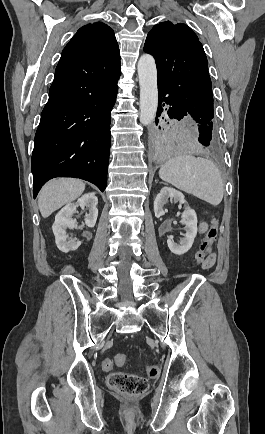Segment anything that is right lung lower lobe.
<instances>
[{
    "mask_svg": "<svg viewBox=\"0 0 265 434\" xmlns=\"http://www.w3.org/2000/svg\"><path fill=\"white\" fill-rule=\"evenodd\" d=\"M120 55H62L35 135L33 195L54 177H77L106 188L110 111Z\"/></svg>",
    "mask_w": 265,
    "mask_h": 434,
    "instance_id": "right-lung-lower-lobe-1",
    "label": "right lung lower lobe"
}]
</instances>
